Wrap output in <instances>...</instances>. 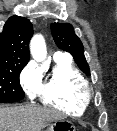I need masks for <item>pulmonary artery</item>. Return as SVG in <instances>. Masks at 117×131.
<instances>
[{"mask_svg": "<svg viewBox=\"0 0 117 131\" xmlns=\"http://www.w3.org/2000/svg\"><path fill=\"white\" fill-rule=\"evenodd\" d=\"M60 57H63V54H62V53L56 52V53L54 54V58H60Z\"/></svg>", "mask_w": 117, "mask_h": 131, "instance_id": "1", "label": "pulmonary artery"}]
</instances>
